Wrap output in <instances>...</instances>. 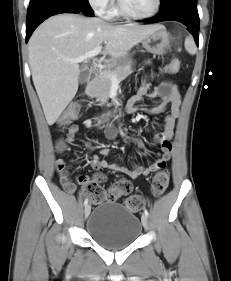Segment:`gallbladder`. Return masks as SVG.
<instances>
[{"instance_id":"1","label":"gallbladder","mask_w":231,"mask_h":281,"mask_svg":"<svg viewBox=\"0 0 231 281\" xmlns=\"http://www.w3.org/2000/svg\"><path fill=\"white\" fill-rule=\"evenodd\" d=\"M88 77H89V74L87 71H81L79 78H78V82L83 83L88 79Z\"/></svg>"}]
</instances>
